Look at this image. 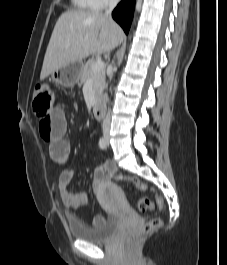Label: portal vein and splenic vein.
Returning <instances> with one entry per match:
<instances>
[{
	"mask_svg": "<svg viewBox=\"0 0 227 265\" xmlns=\"http://www.w3.org/2000/svg\"><path fill=\"white\" fill-rule=\"evenodd\" d=\"M102 68H104V62L102 60H97L92 66V71L95 73Z\"/></svg>",
	"mask_w": 227,
	"mask_h": 265,
	"instance_id": "18ae733b",
	"label": "portal vein and splenic vein"
}]
</instances>
